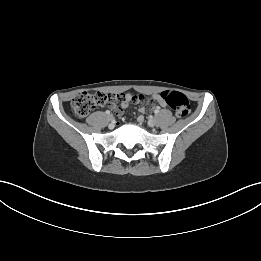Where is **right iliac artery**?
Masks as SVG:
<instances>
[{"instance_id": "right-iliac-artery-1", "label": "right iliac artery", "mask_w": 261, "mask_h": 261, "mask_svg": "<svg viewBox=\"0 0 261 261\" xmlns=\"http://www.w3.org/2000/svg\"><path fill=\"white\" fill-rule=\"evenodd\" d=\"M105 113L109 115V114H110V111H109V110H106V112H105Z\"/></svg>"}]
</instances>
